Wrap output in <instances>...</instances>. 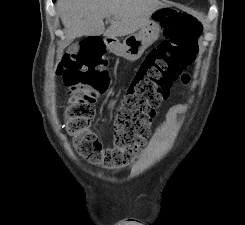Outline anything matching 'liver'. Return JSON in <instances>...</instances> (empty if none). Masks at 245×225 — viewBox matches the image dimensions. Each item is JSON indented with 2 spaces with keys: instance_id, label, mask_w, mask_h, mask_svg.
I'll return each instance as SVG.
<instances>
[{
  "instance_id": "liver-1",
  "label": "liver",
  "mask_w": 245,
  "mask_h": 225,
  "mask_svg": "<svg viewBox=\"0 0 245 225\" xmlns=\"http://www.w3.org/2000/svg\"><path fill=\"white\" fill-rule=\"evenodd\" d=\"M164 6L160 0H58L56 9L65 27V46H68L82 36L131 35ZM104 18L110 22L106 30Z\"/></svg>"
}]
</instances>
